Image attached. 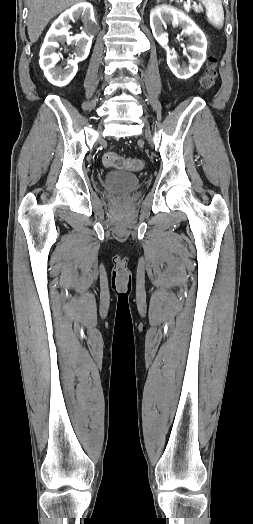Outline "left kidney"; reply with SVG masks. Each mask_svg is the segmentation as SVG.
Wrapping results in <instances>:
<instances>
[{"label":"left kidney","instance_id":"5707ae66","mask_svg":"<svg viewBox=\"0 0 253 524\" xmlns=\"http://www.w3.org/2000/svg\"><path fill=\"white\" fill-rule=\"evenodd\" d=\"M172 24L182 28V35H188L191 51L188 66H180L175 55L167 52V64L173 74L181 79H187L197 73L206 59L207 41L204 33L183 12L168 6L160 5L152 9L150 13V25L153 36L164 48H167L168 34L164 32L163 26Z\"/></svg>","mask_w":253,"mask_h":524}]
</instances>
